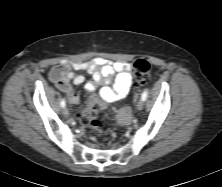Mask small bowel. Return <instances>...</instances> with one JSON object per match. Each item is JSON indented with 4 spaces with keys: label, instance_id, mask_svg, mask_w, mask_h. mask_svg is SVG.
<instances>
[{
    "label": "small bowel",
    "instance_id": "small-bowel-1",
    "mask_svg": "<svg viewBox=\"0 0 222 187\" xmlns=\"http://www.w3.org/2000/svg\"><path fill=\"white\" fill-rule=\"evenodd\" d=\"M74 70L87 71L92 75V80L85 82V77L76 74ZM114 73H117L115 83L113 86H109ZM49 78L59 90L69 94V101L73 105L80 103V97L73 91L71 83L75 85L85 84V89L90 93L95 92L98 85H104L100 89L99 95L106 102H118L126 98L131 85L129 63L124 61L112 62L101 57L86 62L63 61L50 70ZM128 113V109H120L117 116L124 118Z\"/></svg>",
    "mask_w": 222,
    "mask_h": 187
}]
</instances>
